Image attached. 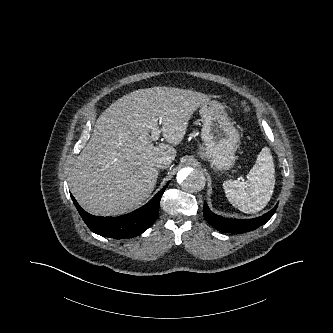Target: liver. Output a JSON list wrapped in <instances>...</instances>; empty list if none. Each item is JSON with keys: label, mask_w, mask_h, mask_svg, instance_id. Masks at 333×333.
Listing matches in <instances>:
<instances>
[{"label": "liver", "mask_w": 333, "mask_h": 333, "mask_svg": "<svg viewBox=\"0 0 333 333\" xmlns=\"http://www.w3.org/2000/svg\"><path fill=\"white\" fill-rule=\"evenodd\" d=\"M210 98L173 87L135 90L113 102L98 118L92 136L75 160L71 193L87 212L118 216L140 206L154 190L157 159L171 162L193 113ZM153 119L168 144L154 145Z\"/></svg>", "instance_id": "6515ba94"}]
</instances>
